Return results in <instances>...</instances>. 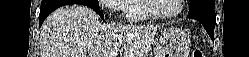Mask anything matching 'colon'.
I'll return each mask as SVG.
<instances>
[{
	"label": "colon",
	"mask_w": 249,
	"mask_h": 57,
	"mask_svg": "<svg viewBox=\"0 0 249 57\" xmlns=\"http://www.w3.org/2000/svg\"><path fill=\"white\" fill-rule=\"evenodd\" d=\"M191 57H204V53L200 49H194Z\"/></svg>",
	"instance_id": "colon-1"
}]
</instances>
